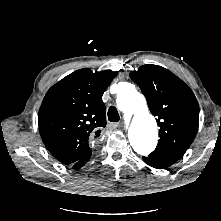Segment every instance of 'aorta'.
I'll return each instance as SVG.
<instances>
[{
  "label": "aorta",
  "mask_w": 221,
  "mask_h": 221,
  "mask_svg": "<svg viewBox=\"0 0 221 221\" xmlns=\"http://www.w3.org/2000/svg\"><path fill=\"white\" fill-rule=\"evenodd\" d=\"M116 102L118 109L130 120L128 136L134 151L142 156L149 155L157 145L158 130L144 96L132 84L125 83Z\"/></svg>",
  "instance_id": "obj_1"
}]
</instances>
